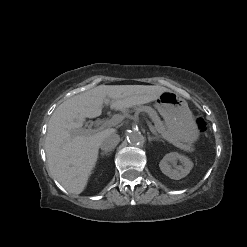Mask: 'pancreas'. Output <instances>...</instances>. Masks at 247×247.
<instances>
[{"mask_svg":"<svg viewBox=\"0 0 247 247\" xmlns=\"http://www.w3.org/2000/svg\"><path fill=\"white\" fill-rule=\"evenodd\" d=\"M135 112H146L149 117L152 119V122L154 123V128L156 132L159 134V137L165 139L166 141L172 143L173 145L180 147L186 151H192V148L190 145L183 144L179 140H177L165 127L163 122L158 117L157 113L148 106H139L134 108ZM127 115V111L124 112V116Z\"/></svg>","mask_w":247,"mask_h":247,"instance_id":"obj_1","label":"pancreas"}]
</instances>
